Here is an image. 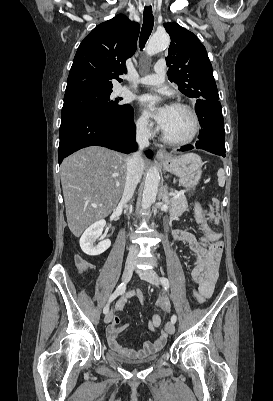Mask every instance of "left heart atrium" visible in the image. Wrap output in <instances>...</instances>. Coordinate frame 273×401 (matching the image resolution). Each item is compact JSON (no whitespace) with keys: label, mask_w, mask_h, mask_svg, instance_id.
Wrapping results in <instances>:
<instances>
[{"label":"left heart atrium","mask_w":273,"mask_h":401,"mask_svg":"<svg viewBox=\"0 0 273 401\" xmlns=\"http://www.w3.org/2000/svg\"><path fill=\"white\" fill-rule=\"evenodd\" d=\"M139 103L144 114L155 119L163 128L173 106L160 102L158 96L151 94L142 95L139 98Z\"/></svg>","instance_id":"1"}]
</instances>
